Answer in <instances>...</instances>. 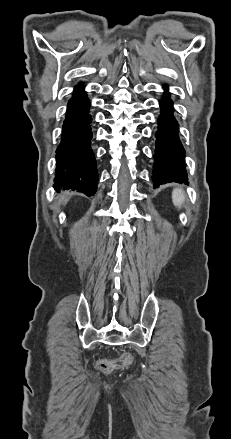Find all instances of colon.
<instances>
[{"instance_id":"5ec220e1","label":"colon","mask_w":231,"mask_h":439,"mask_svg":"<svg viewBox=\"0 0 231 439\" xmlns=\"http://www.w3.org/2000/svg\"><path fill=\"white\" fill-rule=\"evenodd\" d=\"M132 362L133 356L130 353H124L121 357L116 359L101 360L97 367L102 372L109 373L113 370L126 368L130 366Z\"/></svg>"}]
</instances>
